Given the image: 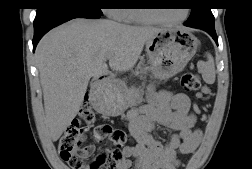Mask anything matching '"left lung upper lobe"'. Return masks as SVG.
<instances>
[{"mask_svg":"<svg viewBox=\"0 0 252 169\" xmlns=\"http://www.w3.org/2000/svg\"><path fill=\"white\" fill-rule=\"evenodd\" d=\"M195 6L184 25L199 29H215L214 16L207 5L210 0H193Z\"/></svg>","mask_w":252,"mask_h":169,"instance_id":"1","label":"left lung upper lobe"}]
</instances>
